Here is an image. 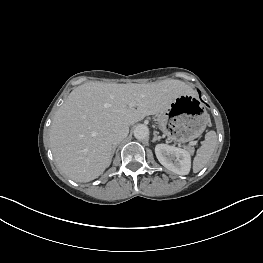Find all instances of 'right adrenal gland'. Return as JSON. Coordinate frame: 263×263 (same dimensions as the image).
Instances as JSON below:
<instances>
[{
    "mask_svg": "<svg viewBox=\"0 0 263 263\" xmlns=\"http://www.w3.org/2000/svg\"><path fill=\"white\" fill-rule=\"evenodd\" d=\"M117 145L114 146L112 153L114 154L116 151Z\"/></svg>",
    "mask_w": 263,
    "mask_h": 263,
    "instance_id": "2a0ac1e0",
    "label": "right adrenal gland"
}]
</instances>
